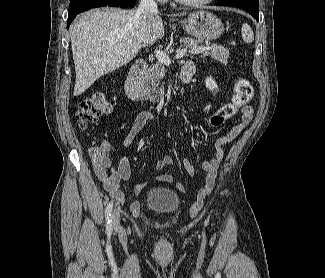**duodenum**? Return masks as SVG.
<instances>
[{"label":"duodenum","instance_id":"410a0bca","mask_svg":"<svg viewBox=\"0 0 325 278\" xmlns=\"http://www.w3.org/2000/svg\"><path fill=\"white\" fill-rule=\"evenodd\" d=\"M194 67L186 64L181 70V80L183 83H189L194 75ZM147 71L146 62L137 61L131 68L125 82V90L128 98L134 104H141L143 102L142 96V79Z\"/></svg>","mask_w":325,"mask_h":278}]
</instances>
